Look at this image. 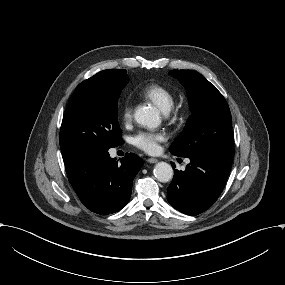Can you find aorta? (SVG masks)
I'll list each match as a JSON object with an SVG mask.
<instances>
[{
  "instance_id": "aorta-1",
  "label": "aorta",
  "mask_w": 285,
  "mask_h": 285,
  "mask_svg": "<svg viewBox=\"0 0 285 285\" xmlns=\"http://www.w3.org/2000/svg\"><path fill=\"white\" fill-rule=\"evenodd\" d=\"M134 118L138 124L148 128H157L161 123L157 109L152 106L139 107ZM154 175L158 181L166 183L173 178V169L170 164L159 162L154 168Z\"/></svg>"
}]
</instances>
